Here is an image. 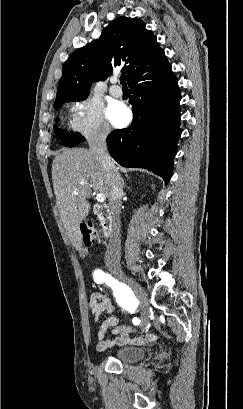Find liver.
<instances>
[{
    "label": "liver",
    "mask_w": 243,
    "mask_h": 409,
    "mask_svg": "<svg viewBox=\"0 0 243 409\" xmlns=\"http://www.w3.org/2000/svg\"><path fill=\"white\" fill-rule=\"evenodd\" d=\"M56 204L66 234L75 248L81 245L80 224L89 214L87 198L92 190L109 195L106 174L101 163L84 148L63 150L52 164ZM77 191V195L74 194Z\"/></svg>",
    "instance_id": "obj_1"
}]
</instances>
